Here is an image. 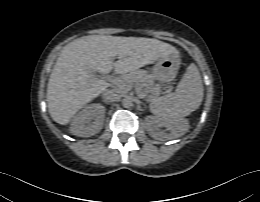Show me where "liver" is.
I'll return each instance as SVG.
<instances>
[{"label": "liver", "instance_id": "6515ba94", "mask_svg": "<svg viewBox=\"0 0 260 202\" xmlns=\"http://www.w3.org/2000/svg\"><path fill=\"white\" fill-rule=\"evenodd\" d=\"M176 52L172 45L152 38L120 36H84L61 51L47 87L48 110L52 119L66 125L74 114L110 86L92 77L98 71L114 68L126 74ZM117 56L118 60L113 62Z\"/></svg>", "mask_w": 260, "mask_h": 202}]
</instances>
